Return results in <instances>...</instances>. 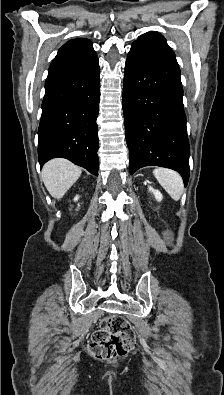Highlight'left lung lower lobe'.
<instances>
[{
  "instance_id": "0a47b994",
  "label": "left lung lower lobe",
  "mask_w": 224,
  "mask_h": 395,
  "mask_svg": "<svg viewBox=\"0 0 224 395\" xmlns=\"http://www.w3.org/2000/svg\"><path fill=\"white\" fill-rule=\"evenodd\" d=\"M175 54L133 42L125 65L123 112L130 174L155 165L189 179V141Z\"/></svg>"
}]
</instances>
